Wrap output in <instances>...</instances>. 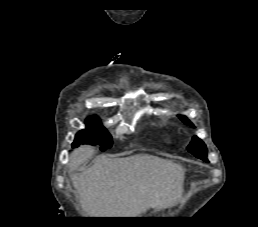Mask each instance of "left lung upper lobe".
<instances>
[{"instance_id": "obj_1", "label": "left lung upper lobe", "mask_w": 258, "mask_h": 227, "mask_svg": "<svg viewBox=\"0 0 258 227\" xmlns=\"http://www.w3.org/2000/svg\"><path fill=\"white\" fill-rule=\"evenodd\" d=\"M180 119L190 125L194 126L185 116H179ZM188 151L191 152L194 156L197 158H200L206 162H209L207 159V148L204 142L198 138L197 136H194L192 141L190 142V145L187 147Z\"/></svg>"}]
</instances>
